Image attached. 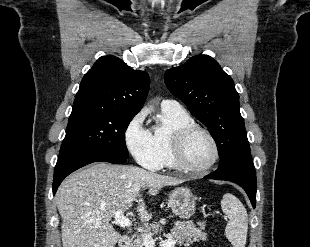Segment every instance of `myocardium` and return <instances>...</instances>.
Listing matches in <instances>:
<instances>
[{"label": "myocardium", "instance_id": "f54148a6", "mask_svg": "<svg viewBox=\"0 0 310 247\" xmlns=\"http://www.w3.org/2000/svg\"><path fill=\"white\" fill-rule=\"evenodd\" d=\"M196 133L204 134L210 140L214 151L211 162L201 168L191 167L186 159V144L189 138ZM172 154L177 168L190 175L198 176L205 174L217 164L220 157V150L215 137L209 130L198 124H189L175 130L172 138Z\"/></svg>", "mask_w": 310, "mask_h": 247}]
</instances>
